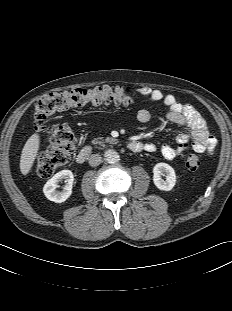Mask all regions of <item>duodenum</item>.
<instances>
[{
  "label": "duodenum",
  "instance_id": "410a0bca",
  "mask_svg": "<svg viewBox=\"0 0 232 311\" xmlns=\"http://www.w3.org/2000/svg\"><path fill=\"white\" fill-rule=\"evenodd\" d=\"M128 147L133 152H140L144 149V145L138 141H132L128 144ZM92 154V148L90 146L83 147L76 156L78 163H84Z\"/></svg>",
  "mask_w": 232,
  "mask_h": 311
}]
</instances>
